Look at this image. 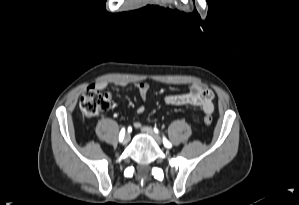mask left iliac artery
Listing matches in <instances>:
<instances>
[{"label":"left iliac artery","mask_w":299,"mask_h":205,"mask_svg":"<svg viewBox=\"0 0 299 205\" xmlns=\"http://www.w3.org/2000/svg\"><path fill=\"white\" fill-rule=\"evenodd\" d=\"M155 131L158 132L157 129H155ZM163 143H164L165 147H167V148L172 147V144L165 137H163Z\"/></svg>","instance_id":"44dca946"}]
</instances>
